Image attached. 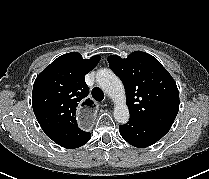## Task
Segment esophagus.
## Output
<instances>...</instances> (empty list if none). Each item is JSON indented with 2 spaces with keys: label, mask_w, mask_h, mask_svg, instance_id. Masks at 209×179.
<instances>
[{
  "label": "esophagus",
  "mask_w": 209,
  "mask_h": 179,
  "mask_svg": "<svg viewBox=\"0 0 209 179\" xmlns=\"http://www.w3.org/2000/svg\"><path fill=\"white\" fill-rule=\"evenodd\" d=\"M96 117V101L93 98H84L75 111L76 124L80 128L89 129Z\"/></svg>",
  "instance_id": "1"
}]
</instances>
